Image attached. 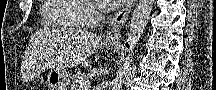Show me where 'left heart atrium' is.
I'll return each instance as SVG.
<instances>
[{"instance_id": "1", "label": "left heart atrium", "mask_w": 216, "mask_h": 90, "mask_svg": "<svg viewBox=\"0 0 216 90\" xmlns=\"http://www.w3.org/2000/svg\"><path fill=\"white\" fill-rule=\"evenodd\" d=\"M100 10H117V7H122L124 0H96Z\"/></svg>"}]
</instances>
